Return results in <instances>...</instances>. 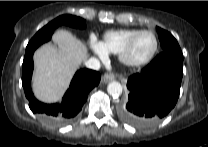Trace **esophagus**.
Listing matches in <instances>:
<instances>
[{"label": "esophagus", "instance_id": "esophagus-1", "mask_svg": "<svg viewBox=\"0 0 208 147\" xmlns=\"http://www.w3.org/2000/svg\"><path fill=\"white\" fill-rule=\"evenodd\" d=\"M114 79H115V76L112 73H105L103 78H102L104 83H108L110 81H113Z\"/></svg>", "mask_w": 208, "mask_h": 147}]
</instances>
